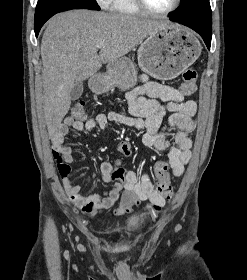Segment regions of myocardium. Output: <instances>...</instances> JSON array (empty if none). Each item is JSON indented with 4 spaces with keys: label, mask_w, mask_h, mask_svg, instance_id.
Here are the masks:
<instances>
[{
    "label": "myocardium",
    "mask_w": 247,
    "mask_h": 280,
    "mask_svg": "<svg viewBox=\"0 0 247 280\" xmlns=\"http://www.w3.org/2000/svg\"><path fill=\"white\" fill-rule=\"evenodd\" d=\"M136 6L145 14H148L150 16H154V17H167L170 14H172L174 11L177 10V8L180 5L181 0H174L172 6L163 11V12H157L152 10L151 8L148 7V5L146 4L145 0H134Z\"/></svg>",
    "instance_id": "1"
}]
</instances>
